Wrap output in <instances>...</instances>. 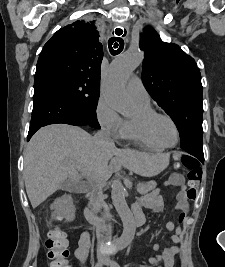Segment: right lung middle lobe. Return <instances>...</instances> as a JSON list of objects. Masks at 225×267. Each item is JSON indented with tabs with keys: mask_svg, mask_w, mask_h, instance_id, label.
Masks as SVG:
<instances>
[{
	"mask_svg": "<svg viewBox=\"0 0 225 267\" xmlns=\"http://www.w3.org/2000/svg\"><path fill=\"white\" fill-rule=\"evenodd\" d=\"M46 77L67 94L73 104L84 113L90 126L100 128L96 117V107L100 93L99 85L82 78L62 74H52Z\"/></svg>",
	"mask_w": 225,
	"mask_h": 267,
	"instance_id": "obj_1",
	"label": "right lung middle lobe"
}]
</instances>
